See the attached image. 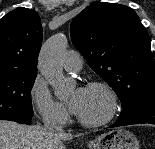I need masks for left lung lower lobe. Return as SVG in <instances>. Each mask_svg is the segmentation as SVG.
<instances>
[{
	"label": "left lung lower lobe",
	"instance_id": "left-lung-lower-lobe-1",
	"mask_svg": "<svg viewBox=\"0 0 155 149\" xmlns=\"http://www.w3.org/2000/svg\"><path fill=\"white\" fill-rule=\"evenodd\" d=\"M143 123L155 124V94L149 95L138 106L123 110L110 128Z\"/></svg>",
	"mask_w": 155,
	"mask_h": 149
}]
</instances>
